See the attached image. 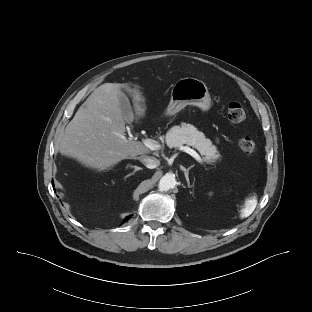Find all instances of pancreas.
<instances>
[{
    "label": "pancreas",
    "instance_id": "obj_1",
    "mask_svg": "<svg viewBox=\"0 0 312 312\" xmlns=\"http://www.w3.org/2000/svg\"><path fill=\"white\" fill-rule=\"evenodd\" d=\"M166 143L170 148H176L183 144L192 146L204 156V161L208 164H214L221 160L217 147L191 124L184 123L181 126L172 127L166 134Z\"/></svg>",
    "mask_w": 312,
    "mask_h": 312
}]
</instances>
